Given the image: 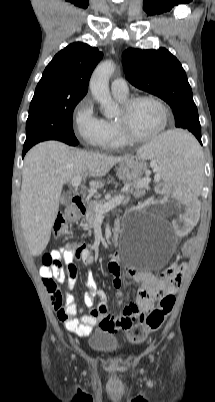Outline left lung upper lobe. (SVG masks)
<instances>
[{
    "mask_svg": "<svg viewBox=\"0 0 215 402\" xmlns=\"http://www.w3.org/2000/svg\"><path fill=\"white\" fill-rule=\"evenodd\" d=\"M123 68L135 87L166 101L174 112L175 126L201 138V126L193 94L182 65L165 48L124 51Z\"/></svg>",
    "mask_w": 215,
    "mask_h": 402,
    "instance_id": "left-lung-upper-lobe-1",
    "label": "left lung upper lobe"
}]
</instances>
